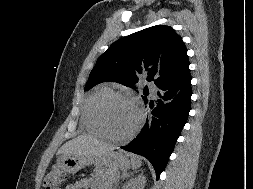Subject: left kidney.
Segmentation results:
<instances>
[{
  "mask_svg": "<svg viewBox=\"0 0 253 189\" xmlns=\"http://www.w3.org/2000/svg\"><path fill=\"white\" fill-rule=\"evenodd\" d=\"M145 183H146V178L141 175L127 182L124 185L123 189H144Z\"/></svg>",
  "mask_w": 253,
  "mask_h": 189,
  "instance_id": "5707ae66",
  "label": "left kidney"
}]
</instances>
